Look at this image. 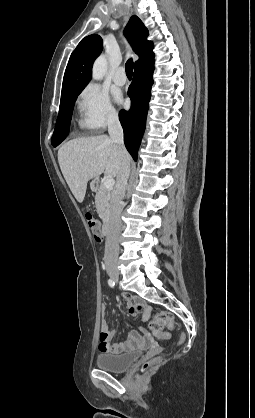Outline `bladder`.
Masks as SVG:
<instances>
[{"mask_svg":"<svg viewBox=\"0 0 255 418\" xmlns=\"http://www.w3.org/2000/svg\"><path fill=\"white\" fill-rule=\"evenodd\" d=\"M140 351H130L121 354L103 353L96 358L98 368L109 372H123L127 370L139 357Z\"/></svg>","mask_w":255,"mask_h":418,"instance_id":"31cf9c89","label":"bladder"}]
</instances>
